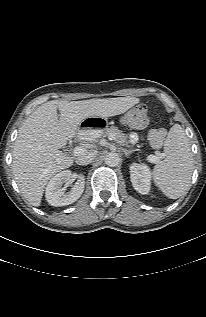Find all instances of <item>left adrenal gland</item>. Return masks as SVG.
Returning <instances> with one entry per match:
<instances>
[{"mask_svg":"<svg viewBox=\"0 0 206 317\" xmlns=\"http://www.w3.org/2000/svg\"><path fill=\"white\" fill-rule=\"evenodd\" d=\"M125 156L128 157L132 152H134L135 150H126V149H122Z\"/></svg>","mask_w":206,"mask_h":317,"instance_id":"a2214340","label":"left adrenal gland"}]
</instances>
